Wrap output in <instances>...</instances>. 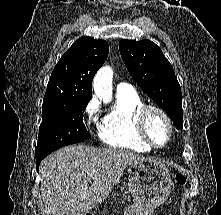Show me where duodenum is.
<instances>
[{
  "mask_svg": "<svg viewBox=\"0 0 221 215\" xmlns=\"http://www.w3.org/2000/svg\"><path fill=\"white\" fill-rule=\"evenodd\" d=\"M84 215H95L93 211H87Z\"/></svg>",
  "mask_w": 221,
  "mask_h": 215,
  "instance_id": "1",
  "label": "duodenum"
}]
</instances>
